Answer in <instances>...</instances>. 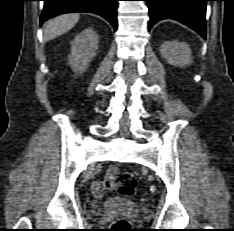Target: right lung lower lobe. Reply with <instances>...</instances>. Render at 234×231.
Wrapping results in <instances>:
<instances>
[{
  "label": "right lung lower lobe",
  "mask_w": 234,
  "mask_h": 231,
  "mask_svg": "<svg viewBox=\"0 0 234 231\" xmlns=\"http://www.w3.org/2000/svg\"><path fill=\"white\" fill-rule=\"evenodd\" d=\"M118 0H44L40 25L46 20L68 12H91L104 17L117 29Z\"/></svg>",
  "instance_id": "98d812e1"
}]
</instances>
